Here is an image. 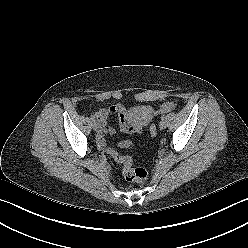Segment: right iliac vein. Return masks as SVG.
I'll return each mask as SVG.
<instances>
[{
    "mask_svg": "<svg viewBox=\"0 0 248 248\" xmlns=\"http://www.w3.org/2000/svg\"><path fill=\"white\" fill-rule=\"evenodd\" d=\"M92 128H93L94 130H98V128H99L98 122L93 121V123H92Z\"/></svg>",
    "mask_w": 248,
    "mask_h": 248,
    "instance_id": "1",
    "label": "right iliac vein"
}]
</instances>
